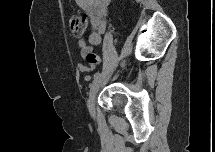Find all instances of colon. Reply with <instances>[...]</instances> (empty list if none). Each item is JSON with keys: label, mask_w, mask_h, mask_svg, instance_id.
I'll list each match as a JSON object with an SVG mask.
<instances>
[{"label": "colon", "mask_w": 215, "mask_h": 152, "mask_svg": "<svg viewBox=\"0 0 215 152\" xmlns=\"http://www.w3.org/2000/svg\"><path fill=\"white\" fill-rule=\"evenodd\" d=\"M71 32L74 36L79 37L84 34L88 26V18L86 15H74L70 18L69 21ZM84 58L86 63L91 67L94 68L100 63L99 56L92 52L86 51L84 53Z\"/></svg>", "instance_id": "1"}]
</instances>
